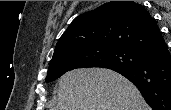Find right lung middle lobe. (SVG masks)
<instances>
[{"mask_svg":"<svg viewBox=\"0 0 171 110\" xmlns=\"http://www.w3.org/2000/svg\"><path fill=\"white\" fill-rule=\"evenodd\" d=\"M143 60V53L124 47L82 48L53 57L45 81H54L65 72L76 68L104 67L115 69L119 67H133Z\"/></svg>","mask_w":171,"mask_h":110,"instance_id":"dd1d6c3e","label":"right lung middle lobe"}]
</instances>
